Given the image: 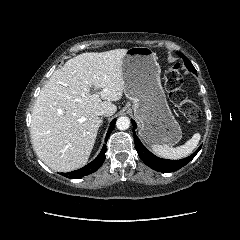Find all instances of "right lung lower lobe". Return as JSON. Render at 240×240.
I'll return each mask as SVG.
<instances>
[{
    "label": "right lung lower lobe",
    "mask_w": 240,
    "mask_h": 240,
    "mask_svg": "<svg viewBox=\"0 0 240 240\" xmlns=\"http://www.w3.org/2000/svg\"><path fill=\"white\" fill-rule=\"evenodd\" d=\"M115 123H116V119H114L111 123H110V127L108 129L107 135L105 137V142H107L109 135L111 134V132L113 131L114 127H115ZM106 145H103V148L100 152V154L89 164H87L86 166H84L81 169L69 172V173H61L63 176H66L68 178L71 179H78L81 178L87 174H91L93 172H95L104 162L105 160V152H106Z\"/></svg>",
    "instance_id": "98d812e1"
}]
</instances>
